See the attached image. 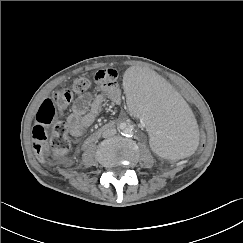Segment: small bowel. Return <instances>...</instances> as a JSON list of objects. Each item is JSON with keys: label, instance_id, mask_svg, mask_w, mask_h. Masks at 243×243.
<instances>
[{"label": "small bowel", "instance_id": "obj_1", "mask_svg": "<svg viewBox=\"0 0 243 243\" xmlns=\"http://www.w3.org/2000/svg\"><path fill=\"white\" fill-rule=\"evenodd\" d=\"M107 72L110 79H101L100 74ZM95 80L99 84V93L79 95L76 99L72 113L67 117L69 133L74 138H79L84 131L95 121L101 112L105 99L114 104H119L122 100V93L118 86V72L113 68L98 71Z\"/></svg>", "mask_w": 243, "mask_h": 243}]
</instances>
